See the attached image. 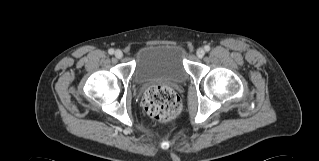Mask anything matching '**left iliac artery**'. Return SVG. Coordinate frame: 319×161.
Wrapping results in <instances>:
<instances>
[{
  "mask_svg": "<svg viewBox=\"0 0 319 161\" xmlns=\"http://www.w3.org/2000/svg\"><path fill=\"white\" fill-rule=\"evenodd\" d=\"M204 49H205V51H209V50H210V46L206 45V46L204 47Z\"/></svg>",
  "mask_w": 319,
  "mask_h": 161,
  "instance_id": "obj_1",
  "label": "left iliac artery"
}]
</instances>
